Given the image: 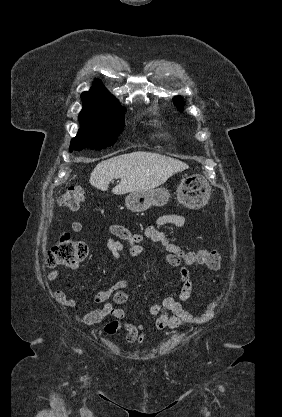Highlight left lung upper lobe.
<instances>
[{
	"label": "left lung upper lobe",
	"instance_id": "left-lung-upper-lobe-1",
	"mask_svg": "<svg viewBox=\"0 0 282 417\" xmlns=\"http://www.w3.org/2000/svg\"><path fill=\"white\" fill-rule=\"evenodd\" d=\"M174 103L177 105L178 109H182L183 104H180V99L174 100Z\"/></svg>",
	"mask_w": 282,
	"mask_h": 417
}]
</instances>
